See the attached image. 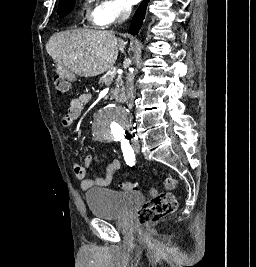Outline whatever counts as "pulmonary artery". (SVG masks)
<instances>
[{"label":"pulmonary artery","instance_id":"e3ab8cb5","mask_svg":"<svg viewBox=\"0 0 256 267\" xmlns=\"http://www.w3.org/2000/svg\"><path fill=\"white\" fill-rule=\"evenodd\" d=\"M107 56H115V55L111 54V55H107Z\"/></svg>","mask_w":256,"mask_h":267}]
</instances>
